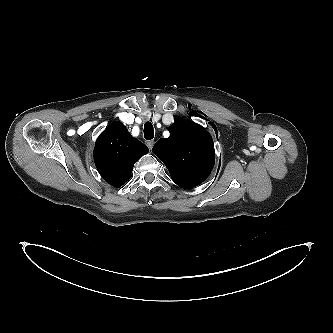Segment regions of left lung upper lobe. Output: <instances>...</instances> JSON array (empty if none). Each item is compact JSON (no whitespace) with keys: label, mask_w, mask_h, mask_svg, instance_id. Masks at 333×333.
I'll use <instances>...</instances> for the list:
<instances>
[{"label":"left lung upper lobe","mask_w":333,"mask_h":333,"mask_svg":"<svg viewBox=\"0 0 333 333\" xmlns=\"http://www.w3.org/2000/svg\"><path fill=\"white\" fill-rule=\"evenodd\" d=\"M168 130L170 137L159 139L152 151L164 162L179 187L201 184L215 163L211 135L202 126L181 117H176Z\"/></svg>","instance_id":"obj_1"}]
</instances>
